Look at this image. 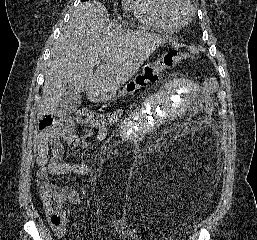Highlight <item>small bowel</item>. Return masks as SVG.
<instances>
[{"label": "small bowel", "instance_id": "1", "mask_svg": "<svg viewBox=\"0 0 257 240\" xmlns=\"http://www.w3.org/2000/svg\"><path fill=\"white\" fill-rule=\"evenodd\" d=\"M107 135V129L99 126L97 138L104 140ZM63 141L72 148L79 146V135L71 122H68L59 130H43L39 133L36 141L37 163L40 165L37 172V185L41 194L58 192L63 196L65 202L78 204L81 197L77 189H60L50 182V176L52 175H86L91 170V166L83 159L76 162H65L63 160ZM113 224L126 240H139L136 230L128 226L125 218L117 219ZM53 231L58 237L65 234L64 227L53 226Z\"/></svg>", "mask_w": 257, "mask_h": 240}]
</instances>
